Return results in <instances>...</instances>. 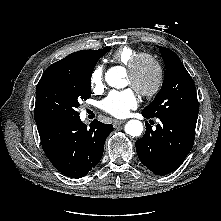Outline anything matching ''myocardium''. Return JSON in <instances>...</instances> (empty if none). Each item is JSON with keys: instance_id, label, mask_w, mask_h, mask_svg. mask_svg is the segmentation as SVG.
Wrapping results in <instances>:
<instances>
[{"instance_id": "myocardium-1", "label": "myocardium", "mask_w": 221, "mask_h": 221, "mask_svg": "<svg viewBox=\"0 0 221 221\" xmlns=\"http://www.w3.org/2000/svg\"><path fill=\"white\" fill-rule=\"evenodd\" d=\"M143 62H149L155 68L156 79L152 87L149 89H138L134 85H131L141 96L150 98L155 96L162 88L164 82V70L160 60L151 53L142 52L137 54L128 66V74L134 77L139 70L140 65Z\"/></svg>"}]
</instances>
